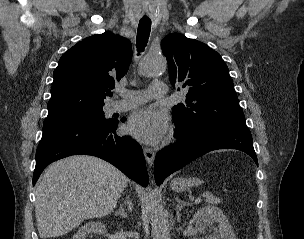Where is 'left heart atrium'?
Masks as SVG:
<instances>
[{
  "label": "left heart atrium",
  "instance_id": "1",
  "mask_svg": "<svg viewBox=\"0 0 304 239\" xmlns=\"http://www.w3.org/2000/svg\"><path fill=\"white\" fill-rule=\"evenodd\" d=\"M126 130L141 142L155 144L167 134L169 122L163 112L146 107L137 110L129 117Z\"/></svg>",
  "mask_w": 304,
  "mask_h": 239
}]
</instances>
